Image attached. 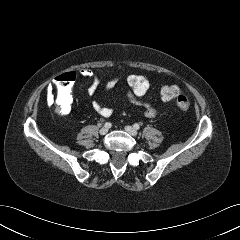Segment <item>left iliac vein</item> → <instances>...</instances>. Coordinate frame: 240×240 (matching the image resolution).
Returning a JSON list of instances; mask_svg holds the SVG:
<instances>
[{"label":"left iliac vein","mask_w":240,"mask_h":240,"mask_svg":"<svg viewBox=\"0 0 240 240\" xmlns=\"http://www.w3.org/2000/svg\"><path fill=\"white\" fill-rule=\"evenodd\" d=\"M125 130L132 136H137V131L131 127V126H126Z\"/></svg>","instance_id":"left-iliac-vein-1"}]
</instances>
